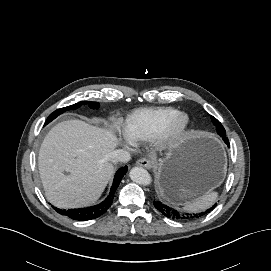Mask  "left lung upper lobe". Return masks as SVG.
Instances as JSON below:
<instances>
[{"instance_id": "5c2ea615", "label": "left lung upper lobe", "mask_w": 271, "mask_h": 271, "mask_svg": "<svg viewBox=\"0 0 271 271\" xmlns=\"http://www.w3.org/2000/svg\"><path fill=\"white\" fill-rule=\"evenodd\" d=\"M211 119H212L213 124L217 128L218 134L221 135V136H223L225 134V129L222 126V124L216 118H214L213 116H211Z\"/></svg>"}]
</instances>
